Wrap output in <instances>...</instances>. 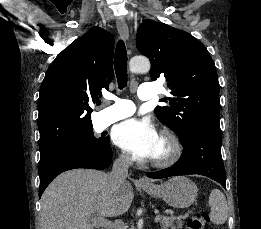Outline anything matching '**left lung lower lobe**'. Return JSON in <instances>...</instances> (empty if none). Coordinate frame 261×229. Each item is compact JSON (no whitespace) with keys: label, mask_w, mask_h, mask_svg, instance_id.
Returning <instances> with one entry per match:
<instances>
[{"label":"left lung lower lobe","mask_w":261,"mask_h":229,"mask_svg":"<svg viewBox=\"0 0 261 229\" xmlns=\"http://www.w3.org/2000/svg\"><path fill=\"white\" fill-rule=\"evenodd\" d=\"M222 136L210 130H197L183 143L180 161L168 169L149 172L147 176L161 179L171 176L198 174L219 182L226 188V173L221 156Z\"/></svg>","instance_id":"0a47b994"}]
</instances>
